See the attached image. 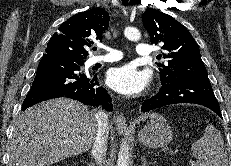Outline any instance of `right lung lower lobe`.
Segmentation results:
<instances>
[{
    "label": "right lung lower lobe",
    "mask_w": 231,
    "mask_h": 166,
    "mask_svg": "<svg viewBox=\"0 0 231 166\" xmlns=\"http://www.w3.org/2000/svg\"><path fill=\"white\" fill-rule=\"evenodd\" d=\"M67 97L85 105L99 106L111 111V97L99 86L97 76L81 72V66L73 61L44 55L38 65L33 84L23 102L26 110L39 102Z\"/></svg>",
    "instance_id": "obj_1"
}]
</instances>
